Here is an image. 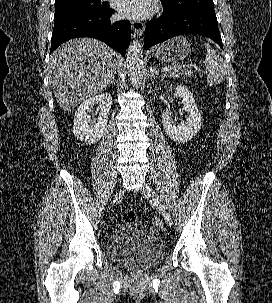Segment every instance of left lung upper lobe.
Returning <instances> with one entry per match:
<instances>
[{"label": "left lung upper lobe", "instance_id": "obj_1", "mask_svg": "<svg viewBox=\"0 0 272 303\" xmlns=\"http://www.w3.org/2000/svg\"><path fill=\"white\" fill-rule=\"evenodd\" d=\"M169 15L185 11H214L213 0H162Z\"/></svg>", "mask_w": 272, "mask_h": 303}]
</instances>
